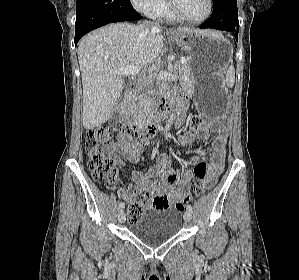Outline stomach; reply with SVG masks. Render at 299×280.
Listing matches in <instances>:
<instances>
[{
    "instance_id": "obj_1",
    "label": "stomach",
    "mask_w": 299,
    "mask_h": 280,
    "mask_svg": "<svg viewBox=\"0 0 299 280\" xmlns=\"http://www.w3.org/2000/svg\"><path fill=\"white\" fill-rule=\"evenodd\" d=\"M170 39L189 54L191 90L198 112L211 118L221 116L228 100L222 75L232 58L230 42L210 30L176 32Z\"/></svg>"
}]
</instances>
